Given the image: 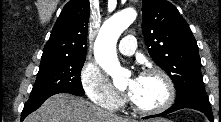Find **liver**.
Returning a JSON list of instances; mask_svg holds the SVG:
<instances>
[{
	"label": "liver",
	"mask_w": 221,
	"mask_h": 122,
	"mask_svg": "<svg viewBox=\"0 0 221 122\" xmlns=\"http://www.w3.org/2000/svg\"><path fill=\"white\" fill-rule=\"evenodd\" d=\"M24 122H133L109 113L83 98L56 94L30 114Z\"/></svg>",
	"instance_id": "obj_1"
}]
</instances>
